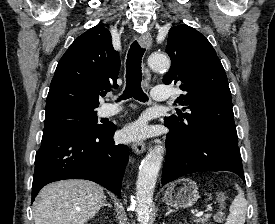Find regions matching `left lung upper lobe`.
<instances>
[{"label":"left lung upper lobe","mask_w":275,"mask_h":224,"mask_svg":"<svg viewBox=\"0 0 275 224\" xmlns=\"http://www.w3.org/2000/svg\"><path fill=\"white\" fill-rule=\"evenodd\" d=\"M166 52L171 67L163 83L180 84L185 95L176 102L185 108L165 117V122L179 131L207 126L237 133L227 76L206 37L186 24L171 27Z\"/></svg>","instance_id":"obj_1"}]
</instances>
